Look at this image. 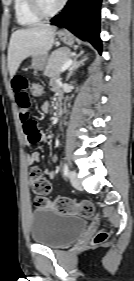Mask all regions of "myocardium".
I'll return each instance as SVG.
<instances>
[{"label":"myocardium","instance_id":"1","mask_svg":"<svg viewBox=\"0 0 134 281\" xmlns=\"http://www.w3.org/2000/svg\"><path fill=\"white\" fill-rule=\"evenodd\" d=\"M64 3L65 0H61L55 8L49 10L45 8L42 0H29L31 9L35 14H37L41 18H49L55 16L61 11L64 6Z\"/></svg>","mask_w":134,"mask_h":281}]
</instances>
